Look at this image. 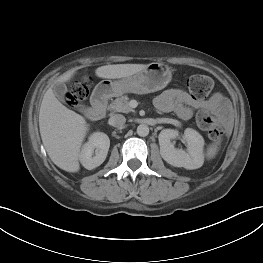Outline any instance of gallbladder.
<instances>
[{"label":"gallbladder","mask_w":263,"mask_h":263,"mask_svg":"<svg viewBox=\"0 0 263 263\" xmlns=\"http://www.w3.org/2000/svg\"><path fill=\"white\" fill-rule=\"evenodd\" d=\"M54 94L57 96V98L60 101H64L65 95L67 93V87L63 82L55 83L52 87ZM77 109L84 113L86 111V108L82 105L78 106Z\"/></svg>","instance_id":"1"}]
</instances>
